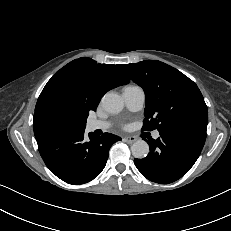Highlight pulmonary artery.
<instances>
[{"mask_svg":"<svg viewBox=\"0 0 231 231\" xmlns=\"http://www.w3.org/2000/svg\"><path fill=\"white\" fill-rule=\"evenodd\" d=\"M123 98L127 108L133 112L142 109L145 103V93L144 90L139 86H129L123 91ZM109 127V123L102 120H89L87 123V129L89 131L94 130H104ZM160 136L159 132L154 133V138Z\"/></svg>","mask_w":231,"mask_h":231,"instance_id":"e3ab8cb5","label":"pulmonary artery"}]
</instances>
